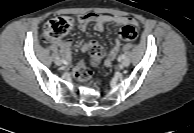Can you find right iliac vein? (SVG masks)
<instances>
[{"instance_id": "63e3f726", "label": "right iliac vein", "mask_w": 194, "mask_h": 133, "mask_svg": "<svg viewBox=\"0 0 194 133\" xmlns=\"http://www.w3.org/2000/svg\"><path fill=\"white\" fill-rule=\"evenodd\" d=\"M62 63H63V62H62V60H61L60 58H58V57L55 58V64H56V65L60 66V65H62Z\"/></svg>"}]
</instances>
